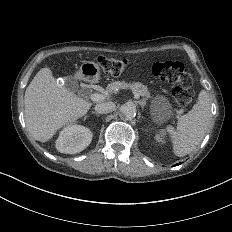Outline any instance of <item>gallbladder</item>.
I'll use <instances>...</instances> for the list:
<instances>
[{"label":"gallbladder","instance_id":"obj_1","mask_svg":"<svg viewBox=\"0 0 232 232\" xmlns=\"http://www.w3.org/2000/svg\"><path fill=\"white\" fill-rule=\"evenodd\" d=\"M63 86L70 92L76 93L79 91L78 81L72 76L63 77Z\"/></svg>","mask_w":232,"mask_h":232}]
</instances>
